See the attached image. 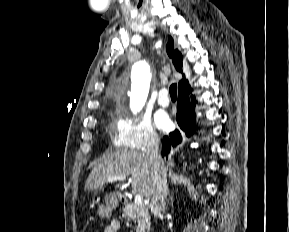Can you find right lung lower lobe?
Here are the masks:
<instances>
[{
	"label": "right lung lower lobe",
	"mask_w": 289,
	"mask_h": 232,
	"mask_svg": "<svg viewBox=\"0 0 289 232\" xmlns=\"http://www.w3.org/2000/svg\"><path fill=\"white\" fill-rule=\"evenodd\" d=\"M191 90L179 93L177 104L176 120L181 130L190 137L195 132V97L190 96ZM182 140L181 133L178 130L171 132L168 136L163 138L162 155L167 156L170 152L171 146H176Z\"/></svg>",
	"instance_id": "right-lung-lower-lobe-1"
}]
</instances>
